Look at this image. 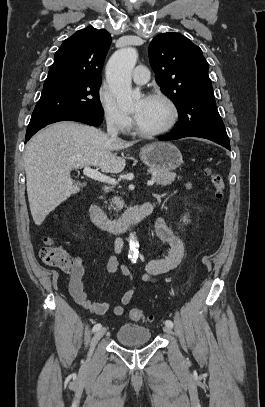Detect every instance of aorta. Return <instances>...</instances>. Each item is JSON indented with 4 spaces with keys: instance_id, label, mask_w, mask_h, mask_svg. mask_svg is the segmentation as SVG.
<instances>
[{
    "instance_id": "obj_1",
    "label": "aorta",
    "mask_w": 265,
    "mask_h": 407,
    "mask_svg": "<svg viewBox=\"0 0 265 407\" xmlns=\"http://www.w3.org/2000/svg\"><path fill=\"white\" fill-rule=\"evenodd\" d=\"M135 48L127 47L116 51L106 65V79L110 90L121 108L132 107L141 97L138 90H132L131 75L137 62ZM138 241L131 233L129 236L128 258L135 263L138 259Z\"/></svg>"
}]
</instances>
